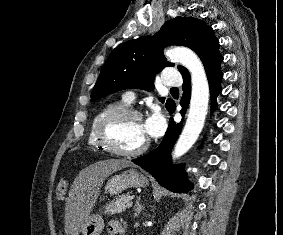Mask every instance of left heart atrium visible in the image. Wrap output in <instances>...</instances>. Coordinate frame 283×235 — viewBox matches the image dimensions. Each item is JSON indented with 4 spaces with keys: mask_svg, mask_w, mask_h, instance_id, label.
<instances>
[{
    "mask_svg": "<svg viewBox=\"0 0 283 235\" xmlns=\"http://www.w3.org/2000/svg\"><path fill=\"white\" fill-rule=\"evenodd\" d=\"M143 130L147 138L160 136L165 130V120L160 114H153L143 122Z\"/></svg>",
    "mask_w": 283,
    "mask_h": 235,
    "instance_id": "39dd6f15",
    "label": "left heart atrium"
}]
</instances>
